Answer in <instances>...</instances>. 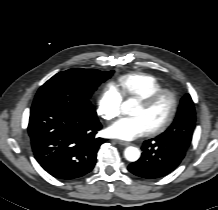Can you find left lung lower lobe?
Wrapping results in <instances>:
<instances>
[{"label": "left lung lower lobe", "mask_w": 218, "mask_h": 210, "mask_svg": "<svg viewBox=\"0 0 218 210\" xmlns=\"http://www.w3.org/2000/svg\"><path fill=\"white\" fill-rule=\"evenodd\" d=\"M188 147L182 141L168 142L159 137L146 140L140 159L131 163L128 170L147 179L163 177L181 163Z\"/></svg>", "instance_id": "left-lung-lower-lobe-1"}]
</instances>
